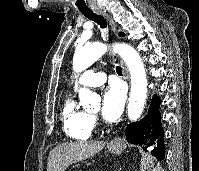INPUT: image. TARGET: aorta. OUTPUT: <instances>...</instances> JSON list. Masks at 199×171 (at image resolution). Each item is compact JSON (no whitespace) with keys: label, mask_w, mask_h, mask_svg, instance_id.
Instances as JSON below:
<instances>
[{"label":"aorta","mask_w":199,"mask_h":171,"mask_svg":"<svg viewBox=\"0 0 199 171\" xmlns=\"http://www.w3.org/2000/svg\"><path fill=\"white\" fill-rule=\"evenodd\" d=\"M107 51V46L102 43L77 48L73 58V69L82 72L90 67ZM117 52L126 63L131 76V91L128 103V117L131 121H136L142 114L147 98V77L144 64L139 53L130 45L117 44L114 46ZM80 104L84 108L99 106L100 97L89 89L79 90Z\"/></svg>","instance_id":"aorta-1"}]
</instances>
